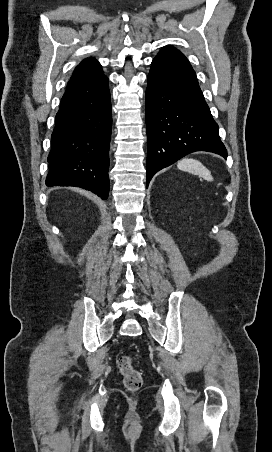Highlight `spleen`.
<instances>
[{
  "label": "spleen",
  "mask_w": 272,
  "mask_h": 452,
  "mask_svg": "<svg viewBox=\"0 0 272 452\" xmlns=\"http://www.w3.org/2000/svg\"><path fill=\"white\" fill-rule=\"evenodd\" d=\"M177 167L182 171L198 175L207 181L213 180L211 172L198 160L185 158L177 163Z\"/></svg>",
  "instance_id": "obj_1"
}]
</instances>
